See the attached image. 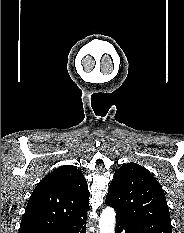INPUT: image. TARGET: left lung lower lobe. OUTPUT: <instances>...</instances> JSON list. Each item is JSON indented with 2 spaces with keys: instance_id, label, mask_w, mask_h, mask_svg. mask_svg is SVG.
<instances>
[{
  "instance_id": "left-lung-lower-lobe-1",
  "label": "left lung lower lobe",
  "mask_w": 184,
  "mask_h": 233,
  "mask_svg": "<svg viewBox=\"0 0 184 233\" xmlns=\"http://www.w3.org/2000/svg\"><path fill=\"white\" fill-rule=\"evenodd\" d=\"M139 233L131 225L127 223L122 217L116 216V228L115 233Z\"/></svg>"
}]
</instances>
